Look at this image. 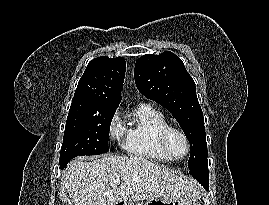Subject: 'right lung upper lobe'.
<instances>
[{"instance_id":"cb5924a9","label":"right lung upper lobe","mask_w":269,"mask_h":205,"mask_svg":"<svg viewBox=\"0 0 269 205\" xmlns=\"http://www.w3.org/2000/svg\"><path fill=\"white\" fill-rule=\"evenodd\" d=\"M125 71L126 63L122 57H98L90 61L70 109L115 113L121 101Z\"/></svg>"}]
</instances>
